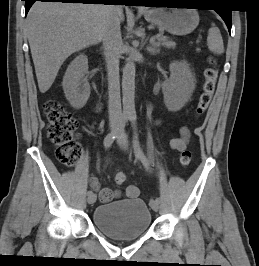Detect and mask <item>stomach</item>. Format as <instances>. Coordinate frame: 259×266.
<instances>
[{"instance_id": "obj_1", "label": "stomach", "mask_w": 259, "mask_h": 266, "mask_svg": "<svg viewBox=\"0 0 259 266\" xmlns=\"http://www.w3.org/2000/svg\"><path fill=\"white\" fill-rule=\"evenodd\" d=\"M183 7V3H174ZM145 19L173 35L191 33L199 24V15L195 9L166 7L152 8L144 12Z\"/></svg>"}]
</instances>
